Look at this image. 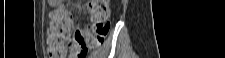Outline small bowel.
<instances>
[{
    "label": "small bowel",
    "instance_id": "1",
    "mask_svg": "<svg viewBox=\"0 0 225 58\" xmlns=\"http://www.w3.org/2000/svg\"><path fill=\"white\" fill-rule=\"evenodd\" d=\"M57 3V1H52V4H56Z\"/></svg>",
    "mask_w": 225,
    "mask_h": 58
}]
</instances>
